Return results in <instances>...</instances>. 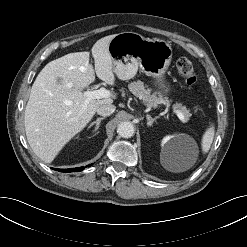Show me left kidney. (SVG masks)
Returning a JSON list of instances; mask_svg holds the SVG:
<instances>
[{
    "mask_svg": "<svg viewBox=\"0 0 247 247\" xmlns=\"http://www.w3.org/2000/svg\"><path fill=\"white\" fill-rule=\"evenodd\" d=\"M189 141L190 137L185 134L166 136L163 138L161 143L162 153L169 161L168 164L170 169L177 170L180 168L179 164L184 160L183 153L187 149L186 144Z\"/></svg>",
    "mask_w": 247,
    "mask_h": 247,
    "instance_id": "left-kidney-1",
    "label": "left kidney"
}]
</instances>
